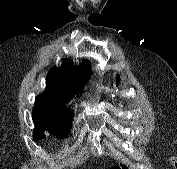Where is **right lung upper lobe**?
Wrapping results in <instances>:
<instances>
[{
  "label": "right lung upper lobe",
  "mask_w": 177,
  "mask_h": 169,
  "mask_svg": "<svg viewBox=\"0 0 177 169\" xmlns=\"http://www.w3.org/2000/svg\"><path fill=\"white\" fill-rule=\"evenodd\" d=\"M90 78L86 60L80 67L70 61H63L61 67L52 68L46 77V89L37 96L35 106H51L70 101L74 95L81 92L85 81Z\"/></svg>",
  "instance_id": "cb5924a9"
}]
</instances>
